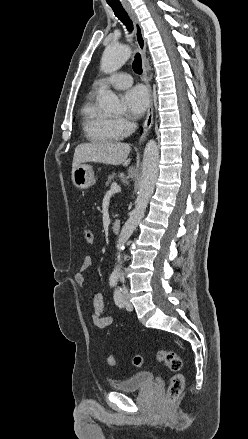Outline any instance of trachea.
Returning <instances> with one entry per match:
<instances>
[{
	"mask_svg": "<svg viewBox=\"0 0 248 439\" xmlns=\"http://www.w3.org/2000/svg\"><path fill=\"white\" fill-rule=\"evenodd\" d=\"M110 7L114 11L115 16L126 26L127 30L129 32H132L133 31L132 20L129 18L127 12L124 10L122 5L110 4ZM132 67L137 74L142 73V60L139 53H136Z\"/></svg>",
	"mask_w": 248,
	"mask_h": 439,
	"instance_id": "1",
	"label": "trachea"
}]
</instances>
